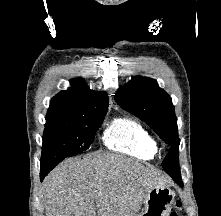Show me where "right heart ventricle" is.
Masks as SVG:
<instances>
[{
	"mask_svg": "<svg viewBox=\"0 0 221 216\" xmlns=\"http://www.w3.org/2000/svg\"><path fill=\"white\" fill-rule=\"evenodd\" d=\"M103 144L110 150L141 159H152L157 144L146 127L136 118L113 119L102 134Z\"/></svg>",
	"mask_w": 221,
	"mask_h": 216,
	"instance_id": "e07e8e85",
	"label": "right heart ventricle"
}]
</instances>
